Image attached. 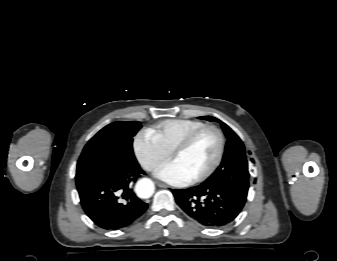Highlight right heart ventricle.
I'll return each mask as SVG.
<instances>
[{
	"instance_id": "obj_1",
	"label": "right heart ventricle",
	"mask_w": 337,
	"mask_h": 261,
	"mask_svg": "<svg viewBox=\"0 0 337 261\" xmlns=\"http://www.w3.org/2000/svg\"><path fill=\"white\" fill-rule=\"evenodd\" d=\"M198 120L168 119L154 125L148 131L156 138L160 145L169 153L193 130L204 126Z\"/></svg>"
}]
</instances>
